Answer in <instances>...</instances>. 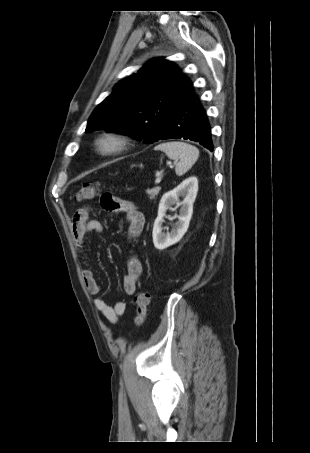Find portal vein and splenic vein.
I'll return each instance as SVG.
<instances>
[{"label": "portal vein and splenic vein", "mask_w": 310, "mask_h": 453, "mask_svg": "<svg viewBox=\"0 0 310 453\" xmlns=\"http://www.w3.org/2000/svg\"><path fill=\"white\" fill-rule=\"evenodd\" d=\"M170 167H172V166H170ZM160 182H161V175H157V176H156L155 183H156V184H159Z\"/></svg>", "instance_id": "obj_1"}]
</instances>
